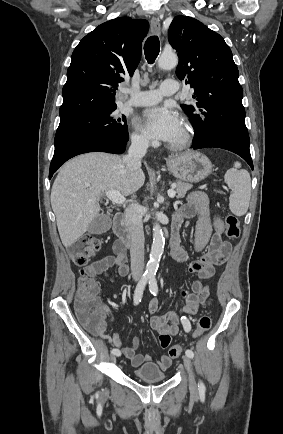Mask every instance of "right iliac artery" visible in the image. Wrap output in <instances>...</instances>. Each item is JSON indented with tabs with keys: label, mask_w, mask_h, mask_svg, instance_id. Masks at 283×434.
<instances>
[{
	"label": "right iliac artery",
	"mask_w": 283,
	"mask_h": 434,
	"mask_svg": "<svg viewBox=\"0 0 283 434\" xmlns=\"http://www.w3.org/2000/svg\"><path fill=\"white\" fill-rule=\"evenodd\" d=\"M148 280H149V278L147 276H143L140 279V281H139V283L135 289V293H134V305H137V304H139V302H141L143 291L145 289V286H146ZM111 353L116 355V356L121 355L120 351L116 348L112 349Z\"/></svg>",
	"instance_id": "82829eb1"
}]
</instances>
